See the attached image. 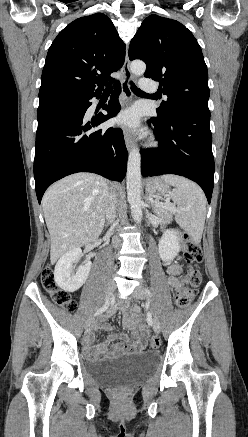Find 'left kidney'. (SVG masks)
<instances>
[{
  "mask_svg": "<svg viewBox=\"0 0 248 437\" xmlns=\"http://www.w3.org/2000/svg\"><path fill=\"white\" fill-rule=\"evenodd\" d=\"M180 239L181 237L175 230L169 229L164 232L158 244L159 255L162 261H171L178 255Z\"/></svg>",
  "mask_w": 248,
  "mask_h": 437,
  "instance_id": "obj_1",
  "label": "left kidney"
}]
</instances>
